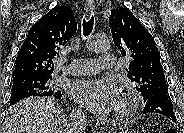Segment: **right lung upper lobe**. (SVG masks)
I'll use <instances>...</instances> for the list:
<instances>
[{
    "instance_id": "cb5924a9",
    "label": "right lung upper lobe",
    "mask_w": 184,
    "mask_h": 133,
    "mask_svg": "<svg viewBox=\"0 0 184 133\" xmlns=\"http://www.w3.org/2000/svg\"><path fill=\"white\" fill-rule=\"evenodd\" d=\"M77 23L69 6H57L42 16L28 31L16 58L12 77L50 75L53 59L76 33Z\"/></svg>"
}]
</instances>
